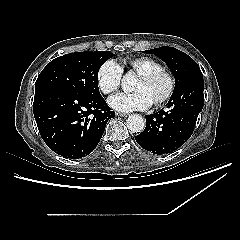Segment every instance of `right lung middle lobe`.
<instances>
[{
    "label": "right lung middle lobe",
    "instance_id": "dd1d6c3e",
    "mask_svg": "<svg viewBox=\"0 0 240 240\" xmlns=\"http://www.w3.org/2000/svg\"><path fill=\"white\" fill-rule=\"evenodd\" d=\"M112 56L109 51H97L57 57L42 70L35 88L61 87L83 95H98V71Z\"/></svg>",
    "mask_w": 240,
    "mask_h": 240
}]
</instances>
